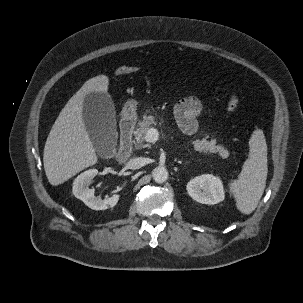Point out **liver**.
<instances>
[{
	"instance_id": "obj_1",
	"label": "liver",
	"mask_w": 303,
	"mask_h": 303,
	"mask_svg": "<svg viewBox=\"0 0 303 303\" xmlns=\"http://www.w3.org/2000/svg\"><path fill=\"white\" fill-rule=\"evenodd\" d=\"M109 78L98 75L86 81L60 112L44 147L43 162L48 181L53 186L97 163L98 157L86 130L83 103L87 94L107 93Z\"/></svg>"
}]
</instances>
